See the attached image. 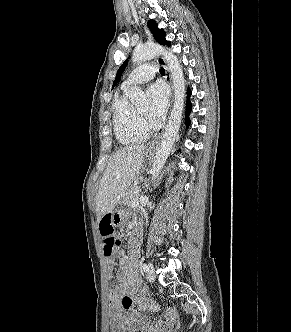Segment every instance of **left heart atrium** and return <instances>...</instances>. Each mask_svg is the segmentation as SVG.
<instances>
[{
	"instance_id": "39dd6f15",
	"label": "left heart atrium",
	"mask_w": 291,
	"mask_h": 332,
	"mask_svg": "<svg viewBox=\"0 0 291 332\" xmlns=\"http://www.w3.org/2000/svg\"><path fill=\"white\" fill-rule=\"evenodd\" d=\"M149 106L147 117L152 123H159L164 118L168 106L169 94L161 83H154L148 88Z\"/></svg>"
}]
</instances>
